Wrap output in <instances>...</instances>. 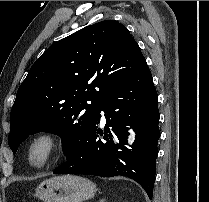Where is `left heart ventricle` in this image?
Masks as SVG:
<instances>
[{
    "instance_id": "1",
    "label": "left heart ventricle",
    "mask_w": 209,
    "mask_h": 202,
    "mask_svg": "<svg viewBox=\"0 0 209 202\" xmlns=\"http://www.w3.org/2000/svg\"><path fill=\"white\" fill-rule=\"evenodd\" d=\"M40 155H41V152L38 151V152L36 153V156H37V157H40Z\"/></svg>"
}]
</instances>
